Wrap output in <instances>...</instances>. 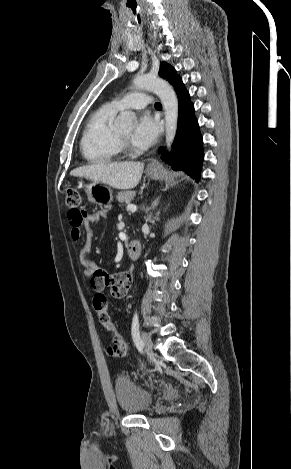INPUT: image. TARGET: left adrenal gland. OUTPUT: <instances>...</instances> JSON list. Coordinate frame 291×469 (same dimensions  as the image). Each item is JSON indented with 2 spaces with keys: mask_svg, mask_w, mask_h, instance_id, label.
Returning <instances> with one entry per match:
<instances>
[{
  "mask_svg": "<svg viewBox=\"0 0 291 469\" xmlns=\"http://www.w3.org/2000/svg\"><path fill=\"white\" fill-rule=\"evenodd\" d=\"M156 205H157V202L155 201L154 206H156Z\"/></svg>",
  "mask_w": 291,
  "mask_h": 469,
  "instance_id": "1",
  "label": "left adrenal gland"
}]
</instances>
